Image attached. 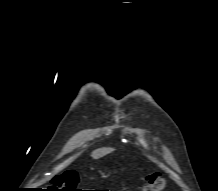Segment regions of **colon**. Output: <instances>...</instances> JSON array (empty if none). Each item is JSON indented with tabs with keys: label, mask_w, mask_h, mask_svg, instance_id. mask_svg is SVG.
I'll return each instance as SVG.
<instances>
[{
	"label": "colon",
	"mask_w": 218,
	"mask_h": 191,
	"mask_svg": "<svg viewBox=\"0 0 218 191\" xmlns=\"http://www.w3.org/2000/svg\"><path fill=\"white\" fill-rule=\"evenodd\" d=\"M56 183L61 191H80L78 189V176L72 172H65L55 177ZM166 181L159 173H151L146 177L142 191H164Z\"/></svg>",
	"instance_id": "5ec220e1"
}]
</instances>
